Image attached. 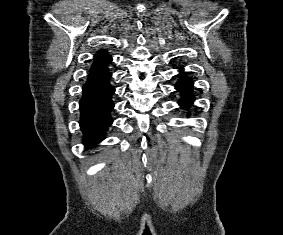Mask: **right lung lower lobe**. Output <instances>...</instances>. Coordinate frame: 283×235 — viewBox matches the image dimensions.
Listing matches in <instances>:
<instances>
[{
	"label": "right lung lower lobe",
	"mask_w": 283,
	"mask_h": 235,
	"mask_svg": "<svg viewBox=\"0 0 283 235\" xmlns=\"http://www.w3.org/2000/svg\"><path fill=\"white\" fill-rule=\"evenodd\" d=\"M109 79L108 71L92 75L83 86L80 127L86 146H95L103 140L105 131L113 122L110 112L114 107L111 96L115 89L110 85Z\"/></svg>",
	"instance_id": "98d812e1"
}]
</instances>
